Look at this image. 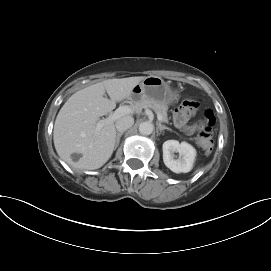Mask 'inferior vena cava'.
I'll use <instances>...</instances> for the list:
<instances>
[{
  "instance_id": "1",
  "label": "inferior vena cava",
  "mask_w": 271,
  "mask_h": 271,
  "mask_svg": "<svg viewBox=\"0 0 271 271\" xmlns=\"http://www.w3.org/2000/svg\"><path fill=\"white\" fill-rule=\"evenodd\" d=\"M133 124H134V119L132 116H123L116 121V128H117V131L120 133L132 127Z\"/></svg>"
}]
</instances>
